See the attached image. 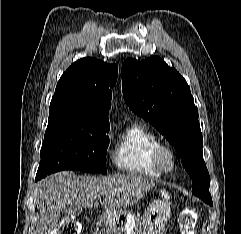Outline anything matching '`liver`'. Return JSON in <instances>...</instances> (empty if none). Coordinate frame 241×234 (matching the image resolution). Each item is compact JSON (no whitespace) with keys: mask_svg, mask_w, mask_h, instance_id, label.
Instances as JSON below:
<instances>
[{"mask_svg":"<svg viewBox=\"0 0 241 234\" xmlns=\"http://www.w3.org/2000/svg\"><path fill=\"white\" fill-rule=\"evenodd\" d=\"M154 186L153 180L136 174L72 179L70 173L59 172L47 176L36 186L40 220L35 234H50L59 226L62 212L98 207L101 197L103 208L116 213L137 203Z\"/></svg>","mask_w":241,"mask_h":234,"instance_id":"liver-1","label":"liver"}]
</instances>
